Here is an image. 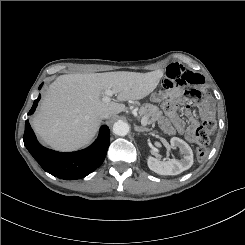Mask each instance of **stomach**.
I'll list each match as a JSON object with an SVG mask.
<instances>
[{
  "mask_svg": "<svg viewBox=\"0 0 245 245\" xmlns=\"http://www.w3.org/2000/svg\"><path fill=\"white\" fill-rule=\"evenodd\" d=\"M166 98V93L162 90L155 91L151 94L150 100L154 103H160Z\"/></svg>",
  "mask_w": 245,
  "mask_h": 245,
  "instance_id": "stomach-1",
  "label": "stomach"
}]
</instances>
